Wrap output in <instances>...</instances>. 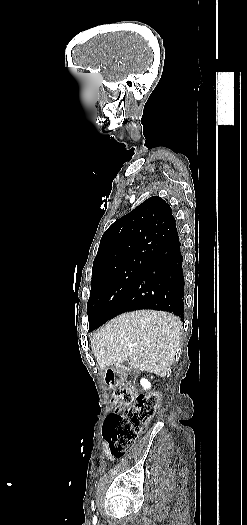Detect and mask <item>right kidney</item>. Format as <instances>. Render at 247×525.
<instances>
[{"mask_svg": "<svg viewBox=\"0 0 247 525\" xmlns=\"http://www.w3.org/2000/svg\"><path fill=\"white\" fill-rule=\"evenodd\" d=\"M152 379V377H151ZM140 385L141 387H143V389H145V391H147V389H151L152 385L151 383H149V381H147V379H140Z\"/></svg>", "mask_w": 247, "mask_h": 525, "instance_id": "right-kidney-1", "label": "right kidney"}]
</instances>
